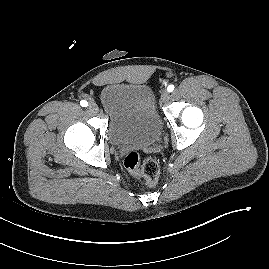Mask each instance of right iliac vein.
Segmentation results:
<instances>
[{
    "instance_id": "63e3f726",
    "label": "right iliac vein",
    "mask_w": 269,
    "mask_h": 269,
    "mask_svg": "<svg viewBox=\"0 0 269 269\" xmlns=\"http://www.w3.org/2000/svg\"><path fill=\"white\" fill-rule=\"evenodd\" d=\"M88 109L93 112V113H96L98 112V106L96 103L94 102H90L89 105H88Z\"/></svg>"
}]
</instances>
